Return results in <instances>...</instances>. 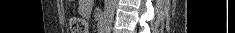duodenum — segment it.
<instances>
[{
	"mask_svg": "<svg viewBox=\"0 0 235 33\" xmlns=\"http://www.w3.org/2000/svg\"><path fill=\"white\" fill-rule=\"evenodd\" d=\"M98 28L100 30V32H103L104 30V18L102 14L98 15Z\"/></svg>",
	"mask_w": 235,
	"mask_h": 33,
	"instance_id": "duodenum-1",
	"label": "duodenum"
}]
</instances>
